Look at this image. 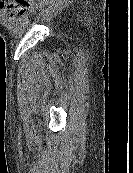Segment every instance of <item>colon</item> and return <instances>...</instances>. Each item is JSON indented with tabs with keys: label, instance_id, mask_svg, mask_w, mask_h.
<instances>
[{
	"label": "colon",
	"instance_id": "5ec220e1",
	"mask_svg": "<svg viewBox=\"0 0 133 173\" xmlns=\"http://www.w3.org/2000/svg\"><path fill=\"white\" fill-rule=\"evenodd\" d=\"M31 0H0V10L9 16L25 12Z\"/></svg>",
	"mask_w": 133,
	"mask_h": 173
}]
</instances>
